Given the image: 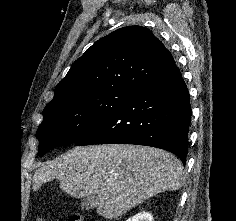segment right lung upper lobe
<instances>
[{
	"instance_id": "right-lung-upper-lobe-1",
	"label": "right lung upper lobe",
	"mask_w": 236,
	"mask_h": 221,
	"mask_svg": "<svg viewBox=\"0 0 236 221\" xmlns=\"http://www.w3.org/2000/svg\"><path fill=\"white\" fill-rule=\"evenodd\" d=\"M175 64L172 54L142 26H127L99 39L71 66L46 107L112 89L137 91Z\"/></svg>"
}]
</instances>
